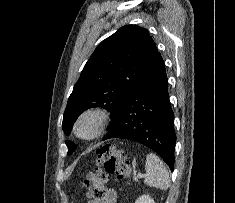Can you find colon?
<instances>
[{"mask_svg":"<svg viewBox=\"0 0 235 203\" xmlns=\"http://www.w3.org/2000/svg\"><path fill=\"white\" fill-rule=\"evenodd\" d=\"M130 173L126 153L112 144H105L98 148L96 167L84 177L83 187L90 197L100 199L107 191L109 174H115L119 180H123Z\"/></svg>","mask_w":235,"mask_h":203,"instance_id":"1","label":"colon"}]
</instances>
